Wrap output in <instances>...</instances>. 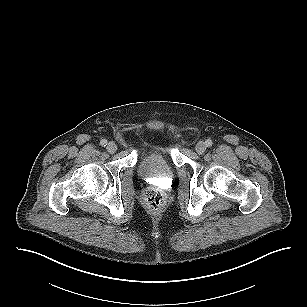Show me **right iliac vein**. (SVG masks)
<instances>
[{
  "label": "right iliac vein",
  "instance_id": "right-iliac-vein-1",
  "mask_svg": "<svg viewBox=\"0 0 307 307\" xmlns=\"http://www.w3.org/2000/svg\"><path fill=\"white\" fill-rule=\"evenodd\" d=\"M106 149H107V151H108L109 153H114V152H116V150H117V146H116V144H115L114 142H109V143L107 144Z\"/></svg>",
  "mask_w": 307,
  "mask_h": 307
}]
</instances>
